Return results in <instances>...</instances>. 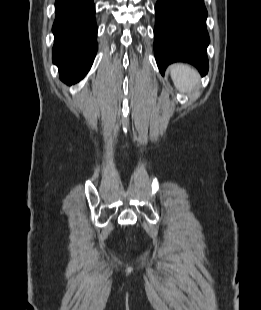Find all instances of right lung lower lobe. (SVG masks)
Listing matches in <instances>:
<instances>
[{"label": "right lung lower lobe", "instance_id": "98d812e1", "mask_svg": "<svg viewBox=\"0 0 261 310\" xmlns=\"http://www.w3.org/2000/svg\"><path fill=\"white\" fill-rule=\"evenodd\" d=\"M53 25V63L60 79L80 81L89 71L97 51V25L93 0H56Z\"/></svg>", "mask_w": 261, "mask_h": 310}]
</instances>
